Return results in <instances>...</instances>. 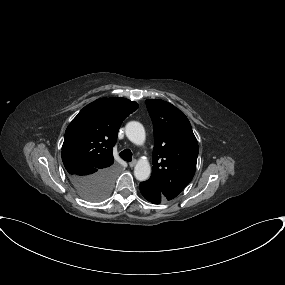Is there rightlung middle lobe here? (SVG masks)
I'll list each match as a JSON object with an SVG mask.
<instances>
[{
  "instance_id": "1",
  "label": "right lung middle lobe",
  "mask_w": 285,
  "mask_h": 285,
  "mask_svg": "<svg viewBox=\"0 0 285 285\" xmlns=\"http://www.w3.org/2000/svg\"><path fill=\"white\" fill-rule=\"evenodd\" d=\"M108 195V192H95L92 194H89L88 196L85 197L86 200L88 201H93V202H97V201H101L103 199H105Z\"/></svg>"
}]
</instances>
